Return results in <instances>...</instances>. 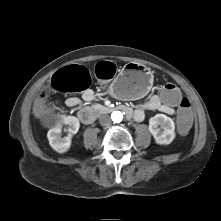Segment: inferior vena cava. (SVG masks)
Segmentation results:
<instances>
[{
    "label": "inferior vena cava",
    "instance_id": "1",
    "mask_svg": "<svg viewBox=\"0 0 221 221\" xmlns=\"http://www.w3.org/2000/svg\"><path fill=\"white\" fill-rule=\"evenodd\" d=\"M99 122L102 126L110 125L111 119L108 115H102L99 119Z\"/></svg>",
    "mask_w": 221,
    "mask_h": 221
}]
</instances>
